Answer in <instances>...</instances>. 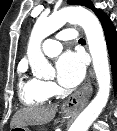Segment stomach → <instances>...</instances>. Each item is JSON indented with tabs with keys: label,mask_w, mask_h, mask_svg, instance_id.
Masks as SVG:
<instances>
[{
	"label": "stomach",
	"mask_w": 117,
	"mask_h": 131,
	"mask_svg": "<svg viewBox=\"0 0 117 131\" xmlns=\"http://www.w3.org/2000/svg\"><path fill=\"white\" fill-rule=\"evenodd\" d=\"M71 113L69 112H65V115L68 116L70 115ZM12 130H15V131H28L26 127H14Z\"/></svg>",
	"instance_id": "0dacf381"
}]
</instances>
